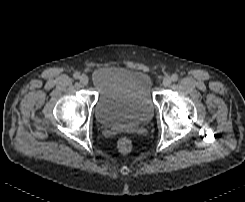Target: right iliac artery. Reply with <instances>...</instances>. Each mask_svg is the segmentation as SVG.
<instances>
[{"mask_svg": "<svg viewBox=\"0 0 245 202\" xmlns=\"http://www.w3.org/2000/svg\"><path fill=\"white\" fill-rule=\"evenodd\" d=\"M73 77H74L75 79H79V78H80V74H79L78 72H76V73H74Z\"/></svg>", "mask_w": 245, "mask_h": 202, "instance_id": "right-iliac-artery-1", "label": "right iliac artery"}]
</instances>
